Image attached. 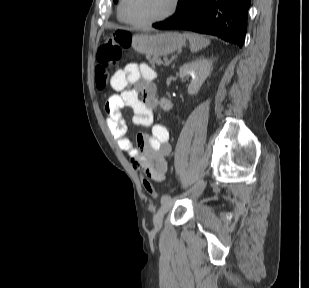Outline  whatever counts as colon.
Returning <instances> with one entry per match:
<instances>
[{
    "mask_svg": "<svg viewBox=\"0 0 309 288\" xmlns=\"http://www.w3.org/2000/svg\"><path fill=\"white\" fill-rule=\"evenodd\" d=\"M131 40L132 37L129 32L120 30L99 45L96 53L97 65L95 69V86L98 90H104L108 86L109 71L121 59L124 51L130 46ZM142 184L151 197H159L148 178L144 177Z\"/></svg>",
    "mask_w": 309,
    "mask_h": 288,
    "instance_id": "1",
    "label": "colon"
}]
</instances>
